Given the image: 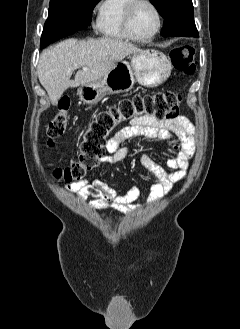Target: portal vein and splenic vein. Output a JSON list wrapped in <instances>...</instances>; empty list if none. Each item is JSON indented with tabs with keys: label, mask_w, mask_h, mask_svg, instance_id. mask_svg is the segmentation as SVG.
I'll list each match as a JSON object with an SVG mask.
<instances>
[{
	"label": "portal vein and splenic vein",
	"mask_w": 240,
	"mask_h": 329,
	"mask_svg": "<svg viewBox=\"0 0 240 329\" xmlns=\"http://www.w3.org/2000/svg\"><path fill=\"white\" fill-rule=\"evenodd\" d=\"M83 70H84V71H86V70H87V68H86V67H84V68H83Z\"/></svg>",
	"instance_id": "1"
}]
</instances>
